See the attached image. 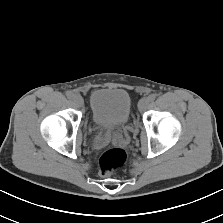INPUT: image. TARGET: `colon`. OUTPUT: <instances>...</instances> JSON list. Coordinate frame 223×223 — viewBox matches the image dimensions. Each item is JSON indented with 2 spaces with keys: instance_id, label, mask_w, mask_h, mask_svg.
Listing matches in <instances>:
<instances>
[{
  "instance_id": "colon-1",
  "label": "colon",
  "mask_w": 223,
  "mask_h": 223,
  "mask_svg": "<svg viewBox=\"0 0 223 223\" xmlns=\"http://www.w3.org/2000/svg\"><path fill=\"white\" fill-rule=\"evenodd\" d=\"M127 161V154L121 148H110L103 152L99 158L98 166L104 176L110 175L122 168Z\"/></svg>"
}]
</instances>
